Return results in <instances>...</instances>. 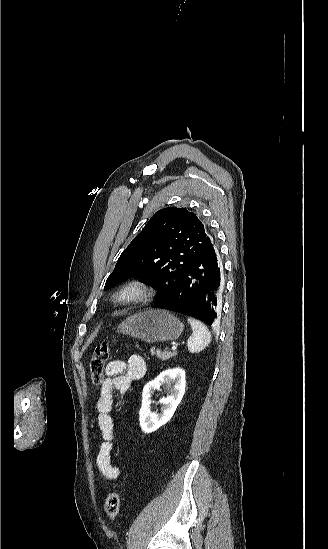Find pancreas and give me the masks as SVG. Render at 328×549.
I'll list each match as a JSON object with an SVG mask.
<instances>
[{"label":"pancreas","instance_id":"pancreas-1","mask_svg":"<svg viewBox=\"0 0 328 549\" xmlns=\"http://www.w3.org/2000/svg\"><path fill=\"white\" fill-rule=\"evenodd\" d=\"M151 355H156L157 359H162V361H168V359H172V357H176L177 353L176 351H164V353H162V351H160V349H156V351H154V349H151L150 351Z\"/></svg>","mask_w":328,"mask_h":549}]
</instances>
